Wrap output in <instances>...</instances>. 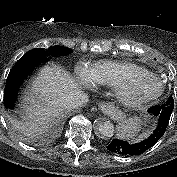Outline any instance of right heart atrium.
Segmentation results:
<instances>
[{
	"label": "right heart atrium",
	"instance_id": "right-heart-atrium-1",
	"mask_svg": "<svg viewBox=\"0 0 177 177\" xmlns=\"http://www.w3.org/2000/svg\"><path fill=\"white\" fill-rule=\"evenodd\" d=\"M75 73L77 78L85 84L89 85L93 83V71L87 64L78 63L75 69Z\"/></svg>",
	"mask_w": 177,
	"mask_h": 177
}]
</instances>
